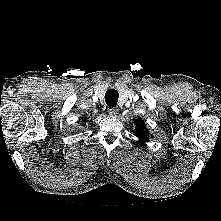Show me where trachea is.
Here are the masks:
<instances>
[{"instance_id": "trachea-1", "label": "trachea", "mask_w": 221, "mask_h": 221, "mask_svg": "<svg viewBox=\"0 0 221 221\" xmlns=\"http://www.w3.org/2000/svg\"><path fill=\"white\" fill-rule=\"evenodd\" d=\"M119 94L115 89H110L105 93V102L108 106L115 107L118 102Z\"/></svg>"}]
</instances>
